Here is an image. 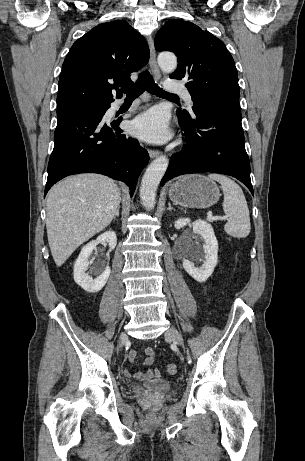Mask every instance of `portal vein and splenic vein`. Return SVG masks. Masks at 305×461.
<instances>
[{
  "instance_id": "18ae733b",
  "label": "portal vein and splenic vein",
  "mask_w": 305,
  "mask_h": 461,
  "mask_svg": "<svg viewBox=\"0 0 305 461\" xmlns=\"http://www.w3.org/2000/svg\"><path fill=\"white\" fill-rule=\"evenodd\" d=\"M207 219H208L209 221H213V220H225L226 217H223V216H212L211 214H209V215L207 216Z\"/></svg>"
}]
</instances>
